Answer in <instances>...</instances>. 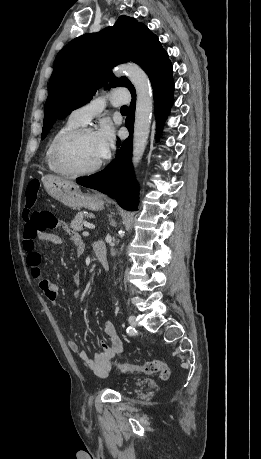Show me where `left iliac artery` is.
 <instances>
[{
	"label": "left iliac artery",
	"instance_id": "1",
	"mask_svg": "<svg viewBox=\"0 0 261 459\" xmlns=\"http://www.w3.org/2000/svg\"><path fill=\"white\" fill-rule=\"evenodd\" d=\"M126 331L129 335H134V333L136 332L135 329L132 327H128Z\"/></svg>",
	"mask_w": 261,
	"mask_h": 459
}]
</instances>
